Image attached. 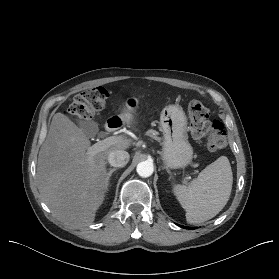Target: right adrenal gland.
Listing matches in <instances>:
<instances>
[{
	"label": "right adrenal gland",
	"instance_id": "obj_1",
	"mask_svg": "<svg viewBox=\"0 0 279 279\" xmlns=\"http://www.w3.org/2000/svg\"><path fill=\"white\" fill-rule=\"evenodd\" d=\"M117 170V168H112L109 170L108 172V176H107V186L109 185V180H110V177L112 176L113 172H115Z\"/></svg>",
	"mask_w": 279,
	"mask_h": 279
}]
</instances>
